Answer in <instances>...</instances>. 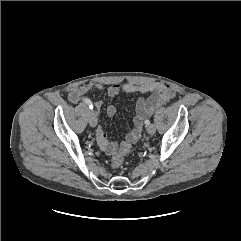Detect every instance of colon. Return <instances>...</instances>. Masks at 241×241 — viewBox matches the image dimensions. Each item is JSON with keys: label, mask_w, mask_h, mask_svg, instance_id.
Wrapping results in <instances>:
<instances>
[{"label": "colon", "mask_w": 241, "mask_h": 241, "mask_svg": "<svg viewBox=\"0 0 241 241\" xmlns=\"http://www.w3.org/2000/svg\"><path fill=\"white\" fill-rule=\"evenodd\" d=\"M131 145L129 144H124L122 149L115 153L112 158H111V166L115 169L120 168L125 160L126 155L128 154L130 150Z\"/></svg>", "instance_id": "1"}]
</instances>
